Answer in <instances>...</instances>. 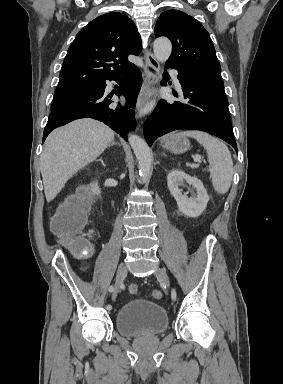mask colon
<instances>
[{"mask_svg":"<svg viewBox=\"0 0 283 384\" xmlns=\"http://www.w3.org/2000/svg\"><path fill=\"white\" fill-rule=\"evenodd\" d=\"M89 211V200L84 192L70 196L59 206L52 218L53 231L63 237L76 256L89 257L92 247L80 234L85 226ZM135 291V289H132ZM153 299H161L162 292L154 290L151 292Z\"/></svg>","mask_w":283,"mask_h":384,"instance_id":"5ec220e1","label":"colon"}]
</instances>
